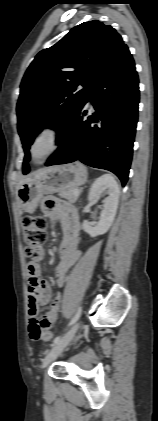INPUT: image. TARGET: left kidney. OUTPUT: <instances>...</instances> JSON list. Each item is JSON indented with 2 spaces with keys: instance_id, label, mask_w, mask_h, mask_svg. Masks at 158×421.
<instances>
[{
  "instance_id": "obj_1",
  "label": "left kidney",
  "mask_w": 158,
  "mask_h": 421,
  "mask_svg": "<svg viewBox=\"0 0 158 421\" xmlns=\"http://www.w3.org/2000/svg\"><path fill=\"white\" fill-rule=\"evenodd\" d=\"M102 189H106L108 197L104 201L99 222L95 226H92L88 220H84L82 224L83 230L91 237L103 235L109 230L114 221L118 207L120 188L114 177L109 174L99 177L93 183L88 195V200L95 202Z\"/></svg>"
}]
</instances>
